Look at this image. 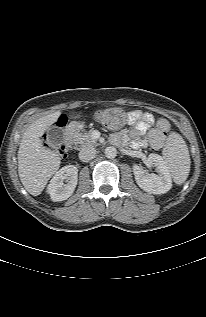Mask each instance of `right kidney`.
I'll list each match as a JSON object with an SVG mask.
<instances>
[{
  "label": "right kidney",
  "instance_id": "obj_1",
  "mask_svg": "<svg viewBox=\"0 0 206 317\" xmlns=\"http://www.w3.org/2000/svg\"><path fill=\"white\" fill-rule=\"evenodd\" d=\"M66 182V183H64ZM78 182V169L74 165H67L56 172L48 185L51 200L60 202L68 199L74 192Z\"/></svg>",
  "mask_w": 206,
  "mask_h": 317
}]
</instances>
